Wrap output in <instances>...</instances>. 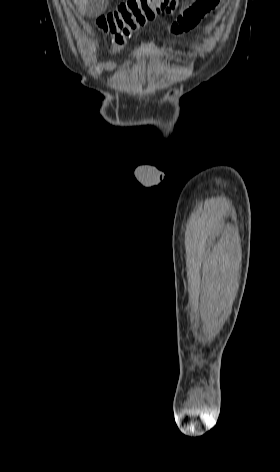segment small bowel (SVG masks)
<instances>
[{"label": "small bowel", "instance_id": "c3829d8e", "mask_svg": "<svg viewBox=\"0 0 280 472\" xmlns=\"http://www.w3.org/2000/svg\"><path fill=\"white\" fill-rule=\"evenodd\" d=\"M206 1L208 0H183L178 8V16L170 26V33L180 35L193 29L219 2L218 0L213 7H207ZM130 66V62L119 65L113 61H106L98 64L96 70L97 72L114 71L117 69L125 70Z\"/></svg>", "mask_w": 280, "mask_h": 472}]
</instances>
